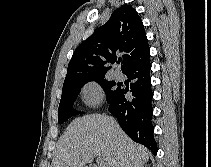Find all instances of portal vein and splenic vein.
Segmentation results:
<instances>
[{"label":"portal vein and splenic vein","mask_w":211,"mask_h":167,"mask_svg":"<svg viewBox=\"0 0 211 167\" xmlns=\"http://www.w3.org/2000/svg\"><path fill=\"white\" fill-rule=\"evenodd\" d=\"M98 167H105V162L101 157H98L96 160Z\"/></svg>","instance_id":"1"}]
</instances>
